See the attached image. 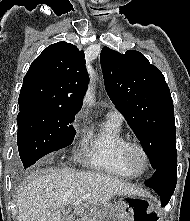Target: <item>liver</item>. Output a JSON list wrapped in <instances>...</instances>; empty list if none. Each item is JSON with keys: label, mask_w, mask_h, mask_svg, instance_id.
I'll return each mask as SVG.
<instances>
[{"label": "liver", "mask_w": 190, "mask_h": 221, "mask_svg": "<svg viewBox=\"0 0 190 221\" xmlns=\"http://www.w3.org/2000/svg\"><path fill=\"white\" fill-rule=\"evenodd\" d=\"M87 193L91 196L82 201L86 204L75 206L77 216H82L88 205L99 208L115 195L140 194L129 183L99 172L37 169L18 191V221H65V208Z\"/></svg>", "instance_id": "6515ba94"}]
</instances>
